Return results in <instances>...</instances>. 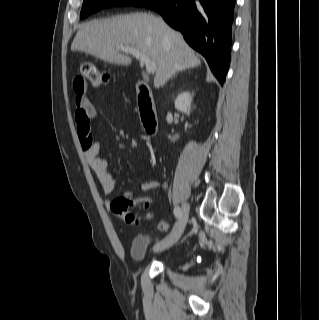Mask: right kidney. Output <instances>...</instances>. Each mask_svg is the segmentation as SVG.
Segmentation results:
<instances>
[{"label": "right kidney", "instance_id": "obj_1", "mask_svg": "<svg viewBox=\"0 0 319 320\" xmlns=\"http://www.w3.org/2000/svg\"><path fill=\"white\" fill-rule=\"evenodd\" d=\"M192 95L189 92L180 93L175 100V108L187 115L191 110Z\"/></svg>", "mask_w": 319, "mask_h": 320}]
</instances>
